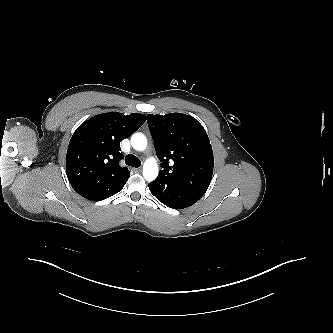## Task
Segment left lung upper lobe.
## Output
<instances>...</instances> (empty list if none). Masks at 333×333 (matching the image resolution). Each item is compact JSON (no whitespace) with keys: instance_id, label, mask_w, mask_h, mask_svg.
Instances as JSON below:
<instances>
[{"instance_id":"1","label":"left lung upper lobe","mask_w":333,"mask_h":333,"mask_svg":"<svg viewBox=\"0 0 333 333\" xmlns=\"http://www.w3.org/2000/svg\"><path fill=\"white\" fill-rule=\"evenodd\" d=\"M148 126L161 161L152 185L203 195L214 166L213 150L204 127L182 113L149 114Z\"/></svg>"}]
</instances>
